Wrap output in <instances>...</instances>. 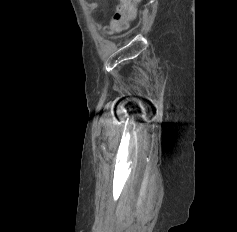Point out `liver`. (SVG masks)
<instances>
[{
  "label": "liver",
  "mask_w": 237,
  "mask_h": 232,
  "mask_svg": "<svg viewBox=\"0 0 237 232\" xmlns=\"http://www.w3.org/2000/svg\"><path fill=\"white\" fill-rule=\"evenodd\" d=\"M135 1L140 2L141 0H135Z\"/></svg>",
  "instance_id": "obj_1"
}]
</instances>
